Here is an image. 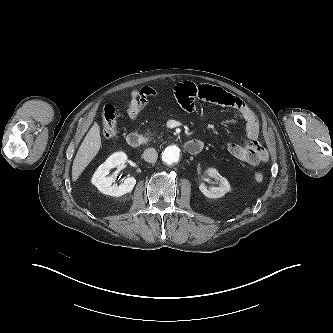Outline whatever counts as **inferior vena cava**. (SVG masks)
Masks as SVG:
<instances>
[{"instance_id": "1", "label": "inferior vena cava", "mask_w": 333, "mask_h": 333, "mask_svg": "<svg viewBox=\"0 0 333 333\" xmlns=\"http://www.w3.org/2000/svg\"><path fill=\"white\" fill-rule=\"evenodd\" d=\"M143 158L149 163H154L158 158V153L154 148H148L144 151Z\"/></svg>"}]
</instances>
